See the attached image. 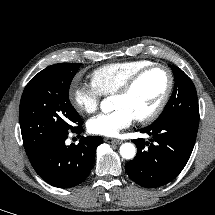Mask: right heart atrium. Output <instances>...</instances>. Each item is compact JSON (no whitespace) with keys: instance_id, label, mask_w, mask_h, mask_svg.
I'll return each mask as SVG.
<instances>
[{"instance_id":"obj_1","label":"right heart atrium","mask_w":215,"mask_h":215,"mask_svg":"<svg viewBox=\"0 0 215 215\" xmlns=\"http://www.w3.org/2000/svg\"><path fill=\"white\" fill-rule=\"evenodd\" d=\"M101 97V92L92 82L75 80L69 90L72 105L81 113H94L99 107Z\"/></svg>"}]
</instances>
